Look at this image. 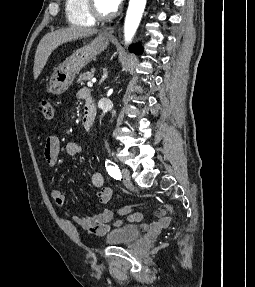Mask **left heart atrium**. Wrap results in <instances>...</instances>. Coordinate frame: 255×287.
I'll return each mask as SVG.
<instances>
[{
    "label": "left heart atrium",
    "instance_id": "left-heart-atrium-1",
    "mask_svg": "<svg viewBox=\"0 0 255 287\" xmlns=\"http://www.w3.org/2000/svg\"><path fill=\"white\" fill-rule=\"evenodd\" d=\"M109 1H111V3H112V1H115V0H109Z\"/></svg>",
    "mask_w": 255,
    "mask_h": 287
}]
</instances>
